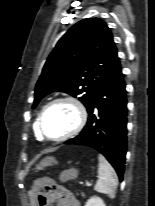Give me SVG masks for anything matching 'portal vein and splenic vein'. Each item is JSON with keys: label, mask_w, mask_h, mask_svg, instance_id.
Masks as SVG:
<instances>
[{"label": "portal vein and splenic vein", "mask_w": 155, "mask_h": 206, "mask_svg": "<svg viewBox=\"0 0 155 206\" xmlns=\"http://www.w3.org/2000/svg\"><path fill=\"white\" fill-rule=\"evenodd\" d=\"M85 185H86V186H90V183H89V182H86Z\"/></svg>", "instance_id": "1"}]
</instances>
